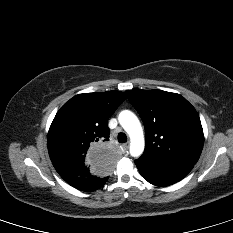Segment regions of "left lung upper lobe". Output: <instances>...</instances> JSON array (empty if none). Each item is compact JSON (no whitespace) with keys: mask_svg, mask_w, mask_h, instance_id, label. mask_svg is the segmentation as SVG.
<instances>
[{"mask_svg":"<svg viewBox=\"0 0 233 233\" xmlns=\"http://www.w3.org/2000/svg\"><path fill=\"white\" fill-rule=\"evenodd\" d=\"M126 94L145 126V151L141 158L196 164L204 135L195 108L176 93L136 89Z\"/></svg>","mask_w":233,"mask_h":233,"instance_id":"1","label":"left lung upper lobe"}]
</instances>
